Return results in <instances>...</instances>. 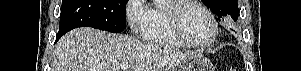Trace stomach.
<instances>
[{"instance_id":"1","label":"stomach","mask_w":301,"mask_h":71,"mask_svg":"<svg viewBox=\"0 0 301 71\" xmlns=\"http://www.w3.org/2000/svg\"><path fill=\"white\" fill-rule=\"evenodd\" d=\"M170 71H214V66L202 54H191L172 67Z\"/></svg>"}]
</instances>
